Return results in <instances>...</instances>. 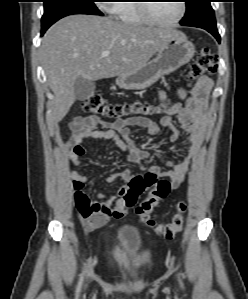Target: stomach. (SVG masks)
I'll return each instance as SVG.
<instances>
[{"mask_svg":"<svg viewBox=\"0 0 248 299\" xmlns=\"http://www.w3.org/2000/svg\"><path fill=\"white\" fill-rule=\"evenodd\" d=\"M194 53L195 46L185 35L174 36L165 43L153 60L133 73L118 76L116 84L123 89H145L162 76L187 64Z\"/></svg>","mask_w":248,"mask_h":299,"instance_id":"obj_1","label":"stomach"}]
</instances>
